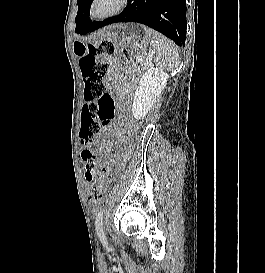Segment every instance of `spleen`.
<instances>
[{
  "mask_svg": "<svg viewBox=\"0 0 265 273\" xmlns=\"http://www.w3.org/2000/svg\"><path fill=\"white\" fill-rule=\"evenodd\" d=\"M150 43L151 53L156 55V64L164 70H173L179 64V54L175 44L164 35L150 28H144Z\"/></svg>",
  "mask_w": 265,
  "mask_h": 273,
  "instance_id": "obj_1",
  "label": "spleen"
}]
</instances>
